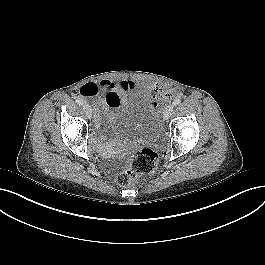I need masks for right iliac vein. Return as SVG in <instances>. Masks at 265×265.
Wrapping results in <instances>:
<instances>
[{"label": "right iliac vein", "mask_w": 265, "mask_h": 265, "mask_svg": "<svg viewBox=\"0 0 265 265\" xmlns=\"http://www.w3.org/2000/svg\"><path fill=\"white\" fill-rule=\"evenodd\" d=\"M83 108H84V111H85V113H86V116H87L89 119H91V118H92V109H91L90 105H88V104H84V105H83Z\"/></svg>", "instance_id": "right-iliac-vein-1"}]
</instances>
